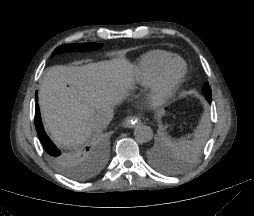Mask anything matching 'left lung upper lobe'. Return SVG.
<instances>
[{"label":"left lung upper lobe","mask_w":254,"mask_h":216,"mask_svg":"<svg viewBox=\"0 0 254 216\" xmlns=\"http://www.w3.org/2000/svg\"><path fill=\"white\" fill-rule=\"evenodd\" d=\"M203 93L205 95L206 100L210 103L211 102V88H210L208 82L205 83V85L203 87ZM153 160H154L155 164L158 167H160L161 169L167 170V171L172 170V168L169 165H167L161 158L156 157V158H153Z\"/></svg>","instance_id":"5c2ea615"}]
</instances>
